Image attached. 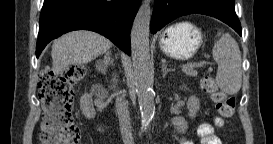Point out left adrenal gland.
Returning <instances> with one entry per match:
<instances>
[{
    "mask_svg": "<svg viewBox=\"0 0 273 144\" xmlns=\"http://www.w3.org/2000/svg\"><path fill=\"white\" fill-rule=\"evenodd\" d=\"M162 72H163V78H165L166 74L169 72V71H172L171 68H167L165 62L162 60Z\"/></svg>",
    "mask_w": 273,
    "mask_h": 144,
    "instance_id": "obj_1",
    "label": "left adrenal gland"
}]
</instances>
